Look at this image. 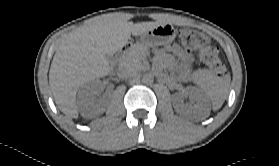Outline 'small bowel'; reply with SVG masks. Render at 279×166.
<instances>
[{"instance_id": "1", "label": "small bowel", "mask_w": 279, "mask_h": 166, "mask_svg": "<svg viewBox=\"0 0 279 166\" xmlns=\"http://www.w3.org/2000/svg\"><path fill=\"white\" fill-rule=\"evenodd\" d=\"M169 51L174 55L177 56L179 58H181L183 61H185L186 63H190L192 61V58L190 55H188L187 53H185L181 47L177 44H174L173 46H171L169 48Z\"/></svg>"}]
</instances>
